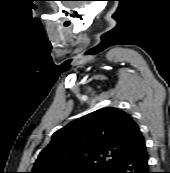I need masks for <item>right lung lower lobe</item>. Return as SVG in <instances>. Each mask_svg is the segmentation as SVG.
<instances>
[{
    "label": "right lung lower lobe",
    "instance_id": "98d812e1",
    "mask_svg": "<svg viewBox=\"0 0 170 173\" xmlns=\"http://www.w3.org/2000/svg\"><path fill=\"white\" fill-rule=\"evenodd\" d=\"M105 173H150L146 146L118 159L106 168Z\"/></svg>",
    "mask_w": 170,
    "mask_h": 173
}]
</instances>
